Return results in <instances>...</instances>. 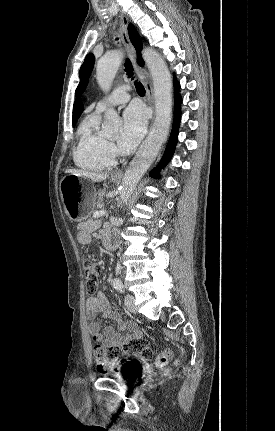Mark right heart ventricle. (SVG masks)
<instances>
[{"label":"right heart ventricle","mask_w":275,"mask_h":431,"mask_svg":"<svg viewBox=\"0 0 275 431\" xmlns=\"http://www.w3.org/2000/svg\"><path fill=\"white\" fill-rule=\"evenodd\" d=\"M100 115L96 111L87 115L78 131V143L74 151L77 166L90 170L102 171L115 164V157L109 150V142L99 128Z\"/></svg>","instance_id":"right-heart-ventricle-1"}]
</instances>
